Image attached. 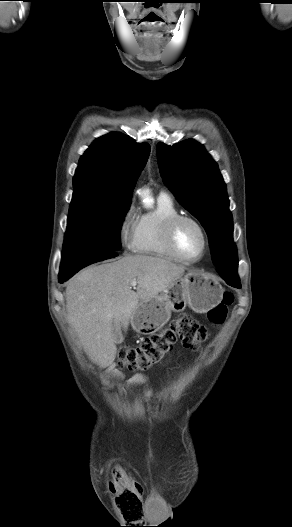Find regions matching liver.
Masks as SVG:
<instances>
[{"label":"liver","instance_id":"1","mask_svg":"<svg viewBox=\"0 0 292 527\" xmlns=\"http://www.w3.org/2000/svg\"><path fill=\"white\" fill-rule=\"evenodd\" d=\"M185 269L159 257L127 255L71 278L66 287L67 322L87 355L102 368L111 365L117 353L114 325L127 331L139 303L166 290Z\"/></svg>","mask_w":292,"mask_h":527}]
</instances>
